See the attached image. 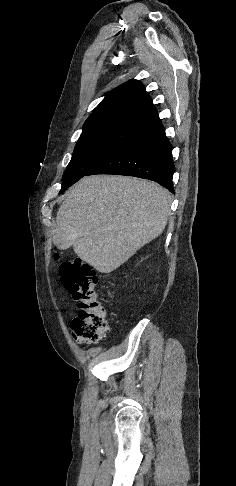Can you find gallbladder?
Returning a JSON list of instances; mask_svg holds the SVG:
<instances>
[{"label":"gallbladder","mask_w":236,"mask_h":486,"mask_svg":"<svg viewBox=\"0 0 236 486\" xmlns=\"http://www.w3.org/2000/svg\"><path fill=\"white\" fill-rule=\"evenodd\" d=\"M65 232L61 228H57L54 235V243L59 249H67L70 247L69 243L64 241Z\"/></svg>","instance_id":"gallbladder-1"}]
</instances>
